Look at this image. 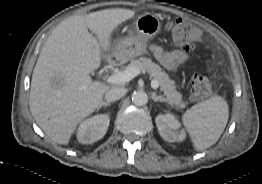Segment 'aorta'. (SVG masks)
Instances as JSON below:
<instances>
[{"mask_svg": "<svg viewBox=\"0 0 262 184\" xmlns=\"http://www.w3.org/2000/svg\"><path fill=\"white\" fill-rule=\"evenodd\" d=\"M132 102L136 106H143L148 102V95L144 91H136L132 95Z\"/></svg>", "mask_w": 262, "mask_h": 184, "instance_id": "aorta-1", "label": "aorta"}]
</instances>
